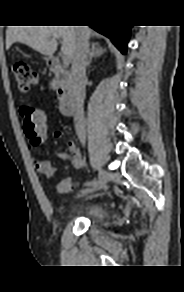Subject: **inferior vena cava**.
Listing matches in <instances>:
<instances>
[{"label":"inferior vena cava","instance_id":"obj_1","mask_svg":"<svg viewBox=\"0 0 184 292\" xmlns=\"http://www.w3.org/2000/svg\"><path fill=\"white\" fill-rule=\"evenodd\" d=\"M84 28L83 26H77L80 34L71 67V97L75 105V130L82 144H85L86 141L84 100L85 84L87 82L86 66L89 54V43Z\"/></svg>","mask_w":184,"mask_h":292}]
</instances>
